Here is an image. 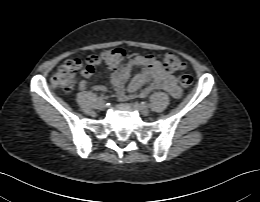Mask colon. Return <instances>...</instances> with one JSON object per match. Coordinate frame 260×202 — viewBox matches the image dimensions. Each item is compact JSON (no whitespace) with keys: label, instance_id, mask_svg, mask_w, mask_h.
<instances>
[{"label":"colon","instance_id":"1","mask_svg":"<svg viewBox=\"0 0 260 202\" xmlns=\"http://www.w3.org/2000/svg\"><path fill=\"white\" fill-rule=\"evenodd\" d=\"M125 56V51L121 48L107 49L102 52V61L111 68L117 67ZM163 67L170 72H178L185 69V62L174 53H165L161 57ZM98 63V58L89 56L87 58H73L64 62L52 75L50 85L65 92L71 91L75 85L77 75L84 70L93 71ZM179 83L184 88H190L193 78L184 74L179 77Z\"/></svg>","mask_w":260,"mask_h":202}]
</instances>
